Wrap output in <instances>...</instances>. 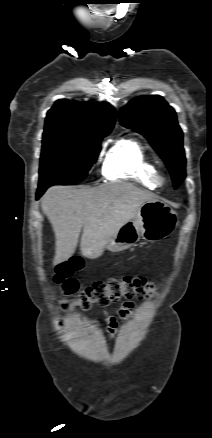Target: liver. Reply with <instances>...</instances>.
<instances>
[{
  "instance_id": "6515ba94",
  "label": "liver",
  "mask_w": 212,
  "mask_h": 438,
  "mask_svg": "<svg viewBox=\"0 0 212 438\" xmlns=\"http://www.w3.org/2000/svg\"><path fill=\"white\" fill-rule=\"evenodd\" d=\"M152 200L158 196L124 182L81 189L51 187L41 199V208L55 234L53 264L74 254L82 228V255L98 258L122 225L136 216L143 203Z\"/></svg>"
}]
</instances>
